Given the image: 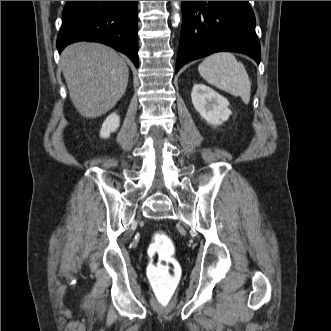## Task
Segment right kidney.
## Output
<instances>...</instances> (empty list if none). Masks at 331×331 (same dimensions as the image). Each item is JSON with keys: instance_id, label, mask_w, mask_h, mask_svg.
<instances>
[{"instance_id": "ca27d5eb", "label": "right kidney", "mask_w": 331, "mask_h": 331, "mask_svg": "<svg viewBox=\"0 0 331 331\" xmlns=\"http://www.w3.org/2000/svg\"><path fill=\"white\" fill-rule=\"evenodd\" d=\"M120 125V117L116 113L109 115L100 130V136L102 138H109L110 134L118 129Z\"/></svg>"}]
</instances>
